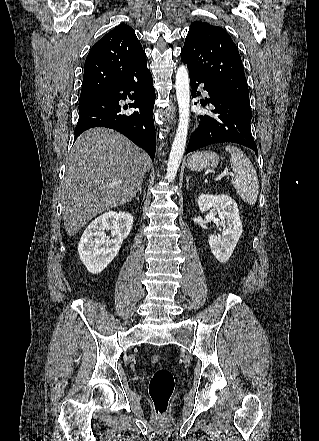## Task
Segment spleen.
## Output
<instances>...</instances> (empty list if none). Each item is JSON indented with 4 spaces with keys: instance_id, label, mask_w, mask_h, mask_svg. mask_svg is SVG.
Instances as JSON below:
<instances>
[{
    "instance_id": "obj_1",
    "label": "spleen",
    "mask_w": 319,
    "mask_h": 441,
    "mask_svg": "<svg viewBox=\"0 0 319 441\" xmlns=\"http://www.w3.org/2000/svg\"><path fill=\"white\" fill-rule=\"evenodd\" d=\"M230 163L235 177L231 180L240 197L249 205H254L259 193L257 173L247 155L233 145H227Z\"/></svg>"
}]
</instances>
